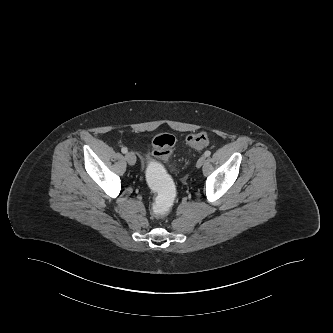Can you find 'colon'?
Instances as JSON below:
<instances>
[{
  "mask_svg": "<svg viewBox=\"0 0 333 333\" xmlns=\"http://www.w3.org/2000/svg\"><path fill=\"white\" fill-rule=\"evenodd\" d=\"M187 143L196 149L204 148L208 143L207 135L203 132L190 134ZM176 140L171 134L163 133L155 136L152 141V154L155 158L168 161L173 153ZM145 182L156 190L157 196L154 210L157 216L166 215L173 203L175 195V181L165 165L153 162L147 166L144 176Z\"/></svg>",
  "mask_w": 333,
  "mask_h": 333,
  "instance_id": "obj_1",
  "label": "colon"
}]
</instances>
